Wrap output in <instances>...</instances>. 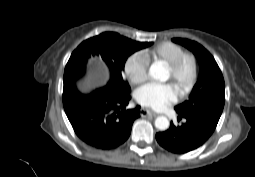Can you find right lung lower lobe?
I'll return each mask as SVG.
<instances>
[{"instance_id": "right-lung-lower-lobe-1", "label": "right lung lower lobe", "mask_w": 255, "mask_h": 177, "mask_svg": "<svg viewBox=\"0 0 255 177\" xmlns=\"http://www.w3.org/2000/svg\"><path fill=\"white\" fill-rule=\"evenodd\" d=\"M129 100V93L120 95L107 87L80 91L74 81L64 82L65 113L76 135L97 149H114L130 136L140 106L126 110Z\"/></svg>"}]
</instances>
